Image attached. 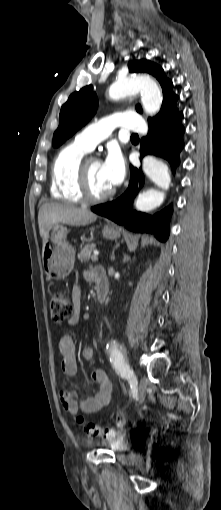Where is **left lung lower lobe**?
<instances>
[{"label": "left lung lower lobe", "instance_id": "left-lung-lower-lobe-1", "mask_svg": "<svg viewBox=\"0 0 221 510\" xmlns=\"http://www.w3.org/2000/svg\"><path fill=\"white\" fill-rule=\"evenodd\" d=\"M183 113L172 111L163 117L148 121L149 133L141 140V158L145 154H153L166 159L173 173L179 165V154L184 147L183 134L185 128L181 123ZM144 175L141 169L130 166V182L127 190L115 201L97 205L91 210L112 221L124 225L135 232H150L165 242L169 236V219L171 207L152 216L132 210L133 199L144 184Z\"/></svg>", "mask_w": 221, "mask_h": 510}]
</instances>
